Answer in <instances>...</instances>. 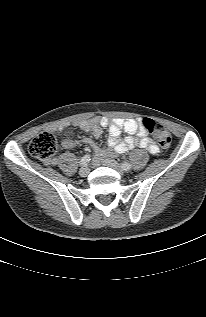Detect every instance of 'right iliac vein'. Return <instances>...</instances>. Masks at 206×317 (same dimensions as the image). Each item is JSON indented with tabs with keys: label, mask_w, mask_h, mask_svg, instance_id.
I'll list each match as a JSON object with an SVG mask.
<instances>
[{
	"label": "right iliac vein",
	"mask_w": 206,
	"mask_h": 317,
	"mask_svg": "<svg viewBox=\"0 0 206 317\" xmlns=\"http://www.w3.org/2000/svg\"><path fill=\"white\" fill-rule=\"evenodd\" d=\"M89 168L88 166H83L80 170H79V174L81 177H86L89 174Z\"/></svg>",
	"instance_id": "1"
}]
</instances>
